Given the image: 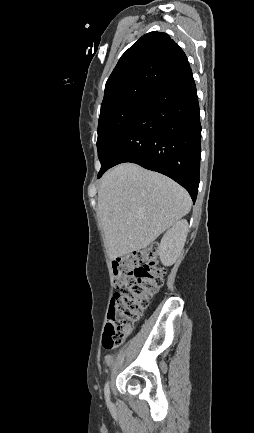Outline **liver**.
Returning <instances> with one entry per match:
<instances>
[{"instance_id":"obj_1","label":"liver","mask_w":254,"mask_h":433,"mask_svg":"<svg viewBox=\"0 0 254 433\" xmlns=\"http://www.w3.org/2000/svg\"><path fill=\"white\" fill-rule=\"evenodd\" d=\"M190 209L188 192L168 177L132 163L114 167L98 191L110 258L147 247Z\"/></svg>"}]
</instances>
